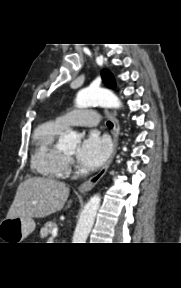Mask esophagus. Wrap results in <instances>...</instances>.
<instances>
[{"label":"esophagus","mask_w":181,"mask_h":288,"mask_svg":"<svg viewBox=\"0 0 181 288\" xmlns=\"http://www.w3.org/2000/svg\"><path fill=\"white\" fill-rule=\"evenodd\" d=\"M105 114L113 123V130H112L113 151H112V154H111L109 160L100 169V171L97 174H95L93 177H91L89 180H87L86 182H84L83 184L80 185L79 191L83 194L90 191L99 182V180L104 176V174L106 173L107 169L109 168V165L112 162V160L116 154V151H117L118 136H119V131H120L119 122H118L117 118L112 113H110L108 110H105Z\"/></svg>","instance_id":"esophagus-1"}]
</instances>
